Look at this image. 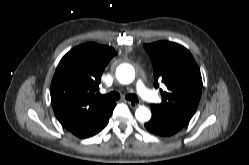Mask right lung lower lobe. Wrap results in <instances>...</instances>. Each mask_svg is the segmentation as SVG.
<instances>
[{
  "mask_svg": "<svg viewBox=\"0 0 249 165\" xmlns=\"http://www.w3.org/2000/svg\"><path fill=\"white\" fill-rule=\"evenodd\" d=\"M115 106L116 103H113L96 119L83 126L71 130V132L79 138H88L97 134L107 125Z\"/></svg>",
  "mask_w": 249,
  "mask_h": 165,
  "instance_id": "98d812e1",
  "label": "right lung lower lobe"
}]
</instances>
